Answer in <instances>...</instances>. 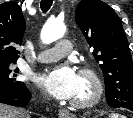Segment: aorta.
Returning <instances> with one entry per match:
<instances>
[{"label":"aorta","mask_w":133,"mask_h":118,"mask_svg":"<svg viewBox=\"0 0 133 118\" xmlns=\"http://www.w3.org/2000/svg\"><path fill=\"white\" fill-rule=\"evenodd\" d=\"M66 27L64 24L56 21H48L41 30V40L44 44H50L65 34Z\"/></svg>","instance_id":"aorta-1"}]
</instances>
